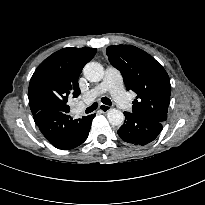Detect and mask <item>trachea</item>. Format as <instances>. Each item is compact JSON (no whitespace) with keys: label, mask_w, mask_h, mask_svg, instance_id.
Segmentation results:
<instances>
[{"label":"trachea","mask_w":205,"mask_h":205,"mask_svg":"<svg viewBox=\"0 0 205 205\" xmlns=\"http://www.w3.org/2000/svg\"><path fill=\"white\" fill-rule=\"evenodd\" d=\"M101 101H102V103H104V104H106V105H112L111 100H110L109 98H107V97H103V98L101 99ZM97 107H98V103L95 102L93 105H91L90 107H88V108L85 110V112H86V113H91V112H93Z\"/></svg>","instance_id":"1"}]
</instances>
